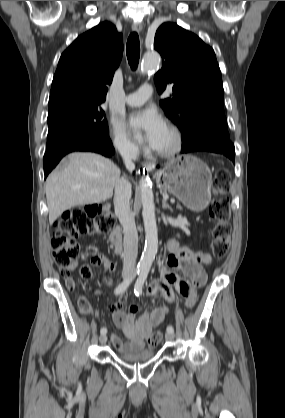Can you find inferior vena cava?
I'll use <instances>...</instances> for the list:
<instances>
[{"label": "inferior vena cava", "instance_id": "1", "mask_svg": "<svg viewBox=\"0 0 285 418\" xmlns=\"http://www.w3.org/2000/svg\"><path fill=\"white\" fill-rule=\"evenodd\" d=\"M118 151L123 158L124 164L129 171L134 170V161L137 159L139 150L132 144H120ZM132 194L131 184L125 178H119L115 183L114 208L124 232V275H131L135 271L138 254V233L134 215L130 211V198Z\"/></svg>", "mask_w": 285, "mask_h": 418}]
</instances>
